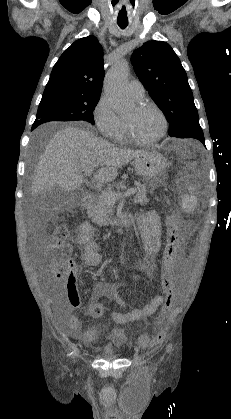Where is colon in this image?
Instances as JSON below:
<instances>
[{"mask_svg": "<svg viewBox=\"0 0 231 419\" xmlns=\"http://www.w3.org/2000/svg\"><path fill=\"white\" fill-rule=\"evenodd\" d=\"M168 236L167 245L164 246V254L161 258L163 270L165 273H161L160 280L162 282V290L164 293L161 317L165 316L171 304L174 302V297L179 293L180 287L174 273H170L172 270V264L178 259L180 240L178 228H177V216L171 214L167 219ZM68 229L64 224L58 225L52 234V240L47 245L44 257L51 270V273L55 278L63 279L65 285L69 288L75 286V268L70 261V246L67 242ZM91 312L94 316H101L104 312V307L101 304H96L92 307ZM113 338L116 341L126 340V335L121 329H115L113 331ZM164 333L158 331L154 337V341L159 343L163 340ZM140 340L143 344L147 343L146 335H141Z\"/></svg>", "mask_w": 231, "mask_h": 419, "instance_id": "5ec220e1", "label": "colon"}]
</instances>
